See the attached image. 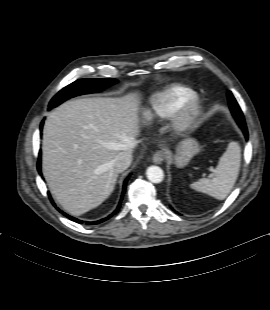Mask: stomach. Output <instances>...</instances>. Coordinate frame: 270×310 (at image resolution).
I'll return each mask as SVG.
<instances>
[{
	"label": "stomach",
	"instance_id": "stomach-1",
	"mask_svg": "<svg viewBox=\"0 0 270 310\" xmlns=\"http://www.w3.org/2000/svg\"><path fill=\"white\" fill-rule=\"evenodd\" d=\"M200 151L199 143L193 138L182 140L176 148L174 162L177 167L186 166L190 160Z\"/></svg>",
	"mask_w": 270,
	"mask_h": 310
}]
</instances>
